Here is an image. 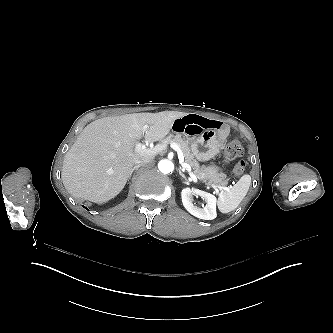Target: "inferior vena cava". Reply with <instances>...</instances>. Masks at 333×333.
<instances>
[{
  "label": "inferior vena cava",
  "mask_w": 333,
  "mask_h": 333,
  "mask_svg": "<svg viewBox=\"0 0 333 333\" xmlns=\"http://www.w3.org/2000/svg\"><path fill=\"white\" fill-rule=\"evenodd\" d=\"M151 160H152V158H150V157H146L143 160H137L135 166L140 167L143 164L149 163Z\"/></svg>",
  "instance_id": "602c4592"
}]
</instances>
